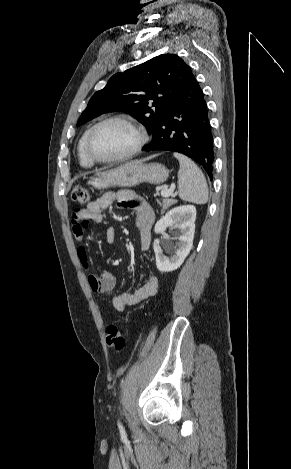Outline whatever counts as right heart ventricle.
<instances>
[{
    "mask_svg": "<svg viewBox=\"0 0 291 469\" xmlns=\"http://www.w3.org/2000/svg\"><path fill=\"white\" fill-rule=\"evenodd\" d=\"M89 129H87L83 135L81 136L78 146H77V151H78V158H79V163L83 167H92L94 165V162L87 156L85 152V140L86 136L88 134Z\"/></svg>",
    "mask_w": 291,
    "mask_h": 469,
    "instance_id": "right-heart-ventricle-1",
    "label": "right heart ventricle"
}]
</instances>
